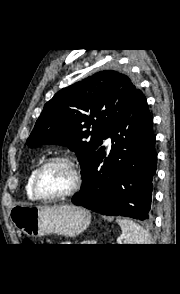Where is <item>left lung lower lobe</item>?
<instances>
[{
    "mask_svg": "<svg viewBox=\"0 0 180 294\" xmlns=\"http://www.w3.org/2000/svg\"><path fill=\"white\" fill-rule=\"evenodd\" d=\"M152 126L147 100L138 91L104 138L114 143L110 153L100 147L72 202L104 215L147 220L157 163Z\"/></svg>",
    "mask_w": 180,
    "mask_h": 294,
    "instance_id": "1",
    "label": "left lung lower lobe"
}]
</instances>
